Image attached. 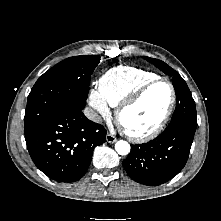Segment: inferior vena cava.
<instances>
[{
    "label": "inferior vena cava",
    "instance_id": "1",
    "mask_svg": "<svg viewBox=\"0 0 221 221\" xmlns=\"http://www.w3.org/2000/svg\"><path fill=\"white\" fill-rule=\"evenodd\" d=\"M85 114L91 120H93L95 122H101V117L97 113H95L93 110L87 108V109H85Z\"/></svg>",
    "mask_w": 221,
    "mask_h": 221
}]
</instances>
